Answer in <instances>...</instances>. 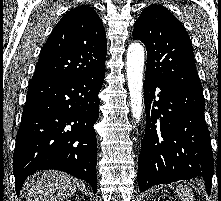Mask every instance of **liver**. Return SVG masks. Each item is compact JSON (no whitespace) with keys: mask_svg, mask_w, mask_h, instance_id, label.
<instances>
[{"mask_svg":"<svg viewBox=\"0 0 221 201\" xmlns=\"http://www.w3.org/2000/svg\"><path fill=\"white\" fill-rule=\"evenodd\" d=\"M81 183L59 171H44L25 183L27 201H64L73 196Z\"/></svg>","mask_w":221,"mask_h":201,"instance_id":"obj_1","label":"liver"}]
</instances>
